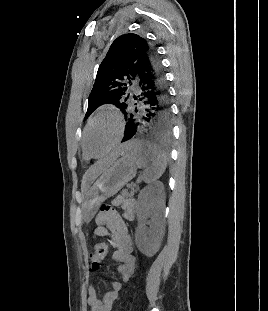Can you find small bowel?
<instances>
[{"label": "small bowel", "mask_w": 268, "mask_h": 311, "mask_svg": "<svg viewBox=\"0 0 268 311\" xmlns=\"http://www.w3.org/2000/svg\"><path fill=\"white\" fill-rule=\"evenodd\" d=\"M96 223L97 227L94 234L109 239L113 248L112 257L119 263L117 272L121 276V282H113V289L102 300L97 297L93 283L89 282L87 303L89 311H111L119 291L135 272L136 259L132 254L133 246L125 222L115 209L103 206L97 215Z\"/></svg>", "instance_id": "c3829d8e"}]
</instances>
